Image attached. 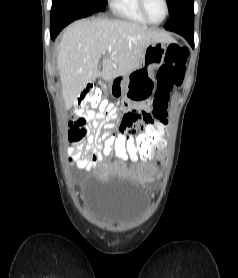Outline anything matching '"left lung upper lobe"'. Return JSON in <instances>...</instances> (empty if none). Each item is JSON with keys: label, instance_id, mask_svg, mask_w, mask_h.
I'll return each instance as SVG.
<instances>
[{"label": "left lung upper lobe", "instance_id": "5c2ea615", "mask_svg": "<svg viewBox=\"0 0 238 278\" xmlns=\"http://www.w3.org/2000/svg\"><path fill=\"white\" fill-rule=\"evenodd\" d=\"M170 6V14L171 16L175 13V11L187 0H168Z\"/></svg>", "mask_w": 238, "mask_h": 278}]
</instances>
